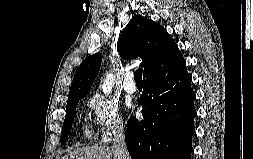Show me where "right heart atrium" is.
Returning <instances> with one entry per match:
<instances>
[{"mask_svg": "<svg viewBox=\"0 0 253 159\" xmlns=\"http://www.w3.org/2000/svg\"><path fill=\"white\" fill-rule=\"evenodd\" d=\"M92 112V122L100 142H108L122 133L125 128L118 105L107 96L94 93L88 100Z\"/></svg>", "mask_w": 253, "mask_h": 159, "instance_id": "right-heart-atrium-1", "label": "right heart atrium"}]
</instances>
